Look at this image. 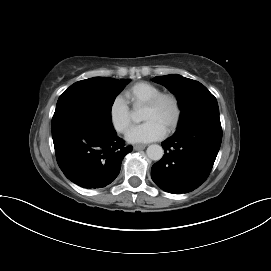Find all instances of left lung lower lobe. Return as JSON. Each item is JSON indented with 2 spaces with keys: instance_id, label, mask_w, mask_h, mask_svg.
<instances>
[{
  "instance_id": "0a47b994",
  "label": "left lung lower lobe",
  "mask_w": 271,
  "mask_h": 271,
  "mask_svg": "<svg viewBox=\"0 0 271 271\" xmlns=\"http://www.w3.org/2000/svg\"><path fill=\"white\" fill-rule=\"evenodd\" d=\"M222 140L219 118L198 119L178 127L162 143L165 155L151 169L162 190L181 194L198 188L208 177Z\"/></svg>"
}]
</instances>
